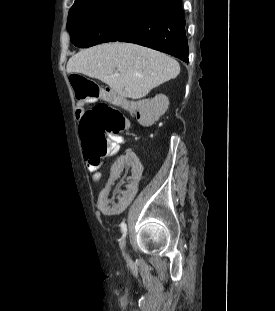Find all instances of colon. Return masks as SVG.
<instances>
[{"instance_id": "5ec220e1", "label": "colon", "mask_w": 275, "mask_h": 311, "mask_svg": "<svg viewBox=\"0 0 275 311\" xmlns=\"http://www.w3.org/2000/svg\"><path fill=\"white\" fill-rule=\"evenodd\" d=\"M70 80L78 102L97 104L98 99L103 100L84 111L80 117V136L87 157L100 160L115 154L118 146L111 136L126 128L127 118L111 105L113 94L103 91L93 80L79 74L71 75ZM116 100L140 115L142 123L149 125L154 121L155 116L147 112L142 104L127 102L119 96Z\"/></svg>"}]
</instances>
